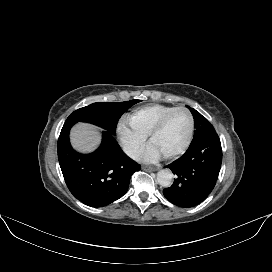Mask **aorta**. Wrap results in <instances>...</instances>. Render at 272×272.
I'll return each instance as SVG.
<instances>
[{"label": "aorta", "instance_id": "aorta-1", "mask_svg": "<svg viewBox=\"0 0 272 272\" xmlns=\"http://www.w3.org/2000/svg\"><path fill=\"white\" fill-rule=\"evenodd\" d=\"M173 174L170 170L164 169L157 173V183L163 187H169L172 184Z\"/></svg>", "mask_w": 272, "mask_h": 272}]
</instances>
